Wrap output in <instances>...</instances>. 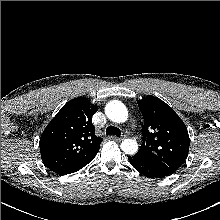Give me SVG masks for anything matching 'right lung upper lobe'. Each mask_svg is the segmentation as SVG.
I'll return each instance as SVG.
<instances>
[{"instance_id": "cb5924a9", "label": "right lung upper lobe", "mask_w": 220, "mask_h": 220, "mask_svg": "<svg viewBox=\"0 0 220 220\" xmlns=\"http://www.w3.org/2000/svg\"><path fill=\"white\" fill-rule=\"evenodd\" d=\"M98 110L84 97L66 103L41 135L39 147L45 166L58 173L91 159L103 138L97 137L92 116Z\"/></svg>"}]
</instances>
